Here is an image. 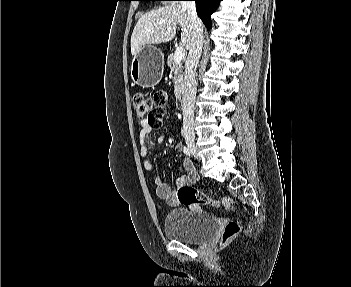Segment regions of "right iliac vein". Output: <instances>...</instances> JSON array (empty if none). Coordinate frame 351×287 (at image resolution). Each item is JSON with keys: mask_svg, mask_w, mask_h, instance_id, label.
<instances>
[{"mask_svg": "<svg viewBox=\"0 0 351 287\" xmlns=\"http://www.w3.org/2000/svg\"><path fill=\"white\" fill-rule=\"evenodd\" d=\"M186 144L188 146V148L190 149V151L197 156V147L195 145V141L193 138H187L186 139Z\"/></svg>", "mask_w": 351, "mask_h": 287, "instance_id": "obj_1", "label": "right iliac vein"}]
</instances>
